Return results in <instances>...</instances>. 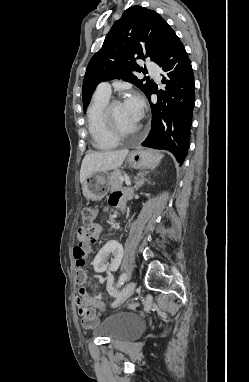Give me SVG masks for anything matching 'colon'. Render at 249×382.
Segmentation results:
<instances>
[{
	"mask_svg": "<svg viewBox=\"0 0 249 382\" xmlns=\"http://www.w3.org/2000/svg\"><path fill=\"white\" fill-rule=\"evenodd\" d=\"M96 216V209L89 205H84L81 208V218L84 227H91ZM74 257L78 266L75 267L76 281L86 282L87 276L83 271V266L86 264L88 259V248H76L74 247ZM80 295H85V290L80 289Z\"/></svg>",
	"mask_w": 249,
	"mask_h": 382,
	"instance_id": "colon-1",
	"label": "colon"
}]
</instances>
